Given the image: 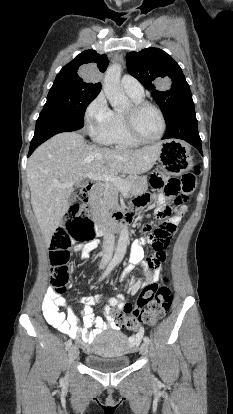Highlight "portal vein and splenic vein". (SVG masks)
Instances as JSON below:
<instances>
[{"label":"portal vein and splenic vein","mask_w":233,"mask_h":414,"mask_svg":"<svg viewBox=\"0 0 233 414\" xmlns=\"http://www.w3.org/2000/svg\"><path fill=\"white\" fill-rule=\"evenodd\" d=\"M88 178L92 180H100L104 181L105 183H112L117 186L119 189L124 191H128L130 189V184L126 182L124 179L109 174H90Z\"/></svg>","instance_id":"obj_1"}]
</instances>
